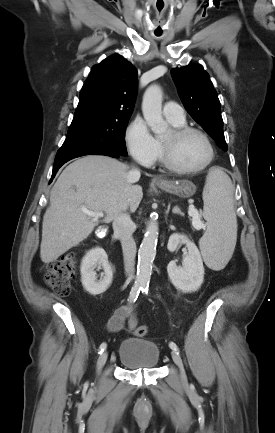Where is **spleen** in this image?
<instances>
[{
	"label": "spleen",
	"mask_w": 275,
	"mask_h": 433,
	"mask_svg": "<svg viewBox=\"0 0 275 433\" xmlns=\"http://www.w3.org/2000/svg\"><path fill=\"white\" fill-rule=\"evenodd\" d=\"M231 179L221 168H212L203 189L207 230L199 241L203 259L213 270L223 269L234 252L237 219L233 206Z\"/></svg>",
	"instance_id": "obj_1"
}]
</instances>
